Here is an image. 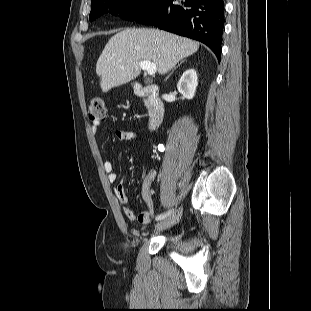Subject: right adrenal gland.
Returning <instances> with one entry per match:
<instances>
[{"label":"right adrenal gland","instance_id":"right-adrenal-gland-1","mask_svg":"<svg viewBox=\"0 0 311 311\" xmlns=\"http://www.w3.org/2000/svg\"><path fill=\"white\" fill-rule=\"evenodd\" d=\"M183 62H184V60L181 61V62L171 71V73L165 78L164 81H167V80L169 79V77L172 75V73L174 72V70H176V68L180 67V65H181Z\"/></svg>","mask_w":311,"mask_h":311}]
</instances>
